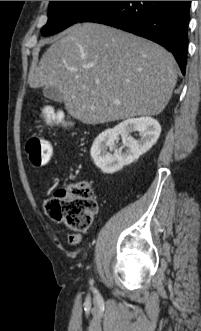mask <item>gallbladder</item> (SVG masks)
I'll list each match as a JSON object with an SVG mask.
<instances>
[{"label": "gallbladder", "instance_id": "gallbladder-1", "mask_svg": "<svg viewBox=\"0 0 201 331\" xmlns=\"http://www.w3.org/2000/svg\"><path fill=\"white\" fill-rule=\"evenodd\" d=\"M43 95L50 100L56 101V102H62L63 101V94L56 86H50L45 87L43 89Z\"/></svg>", "mask_w": 201, "mask_h": 331}]
</instances>
